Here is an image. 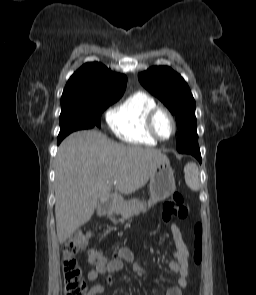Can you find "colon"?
Listing matches in <instances>:
<instances>
[{"label":"colon","instance_id":"colon-1","mask_svg":"<svg viewBox=\"0 0 256 295\" xmlns=\"http://www.w3.org/2000/svg\"><path fill=\"white\" fill-rule=\"evenodd\" d=\"M188 209L184 205V198L180 192H175L163 205L161 218L165 223L172 219H185ZM202 225L196 223L194 226L195 252L194 261L199 264L202 260ZM88 242V235L82 231L76 232L65 243L62 250V270L64 276V288L66 295H86V284L82 276V269L77 261L78 254L83 251ZM103 261L98 251L89 254V262L93 265Z\"/></svg>","mask_w":256,"mask_h":295}]
</instances>
